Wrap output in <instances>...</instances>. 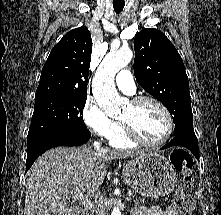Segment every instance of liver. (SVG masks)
<instances>
[{
  "label": "liver",
  "mask_w": 221,
  "mask_h": 215,
  "mask_svg": "<svg viewBox=\"0 0 221 215\" xmlns=\"http://www.w3.org/2000/svg\"><path fill=\"white\" fill-rule=\"evenodd\" d=\"M145 153L87 147H56L40 156L26 174L25 215H71L68 201L97 196L110 162Z\"/></svg>",
  "instance_id": "liver-1"
}]
</instances>
